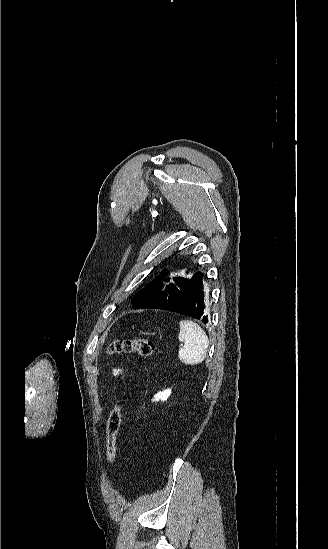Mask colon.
Instances as JSON below:
<instances>
[{"label":"colon","mask_w":328,"mask_h":549,"mask_svg":"<svg viewBox=\"0 0 328 549\" xmlns=\"http://www.w3.org/2000/svg\"><path fill=\"white\" fill-rule=\"evenodd\" d=\"M109 354L135 353L145 357H151L156 352L155 344L144 338L114 340L108 347ZM122 406L113 407L107 422L106 429V456L111 467L114 468L117 455V435L121 425Z\"/></svg>","instance_id":"colon-1"}]
</instances>
